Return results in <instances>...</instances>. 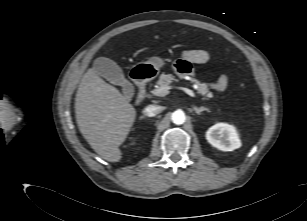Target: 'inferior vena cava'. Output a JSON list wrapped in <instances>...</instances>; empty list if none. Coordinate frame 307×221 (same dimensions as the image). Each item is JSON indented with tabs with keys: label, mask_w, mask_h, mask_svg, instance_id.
I'll use <instances>...</instances> for the list:
<instances>
[{
	"label": "inferior vena cava",
	"mask_w": 307,
	"mask_h": 221,
	"mask_svg": "<svg viewBox=\"0 0 307 221\" xmlns=\"http://www.w3.org/2000/svg\"><path fill=\"white\" fill-rule=\"evenodd\" d=\"M161 107L157 105H149L144 110L143 113L146 116L153 117L161 112Z\"/></svg>",
	"instance_id": "inferior-vena-cava-1"
}]
</instances>
